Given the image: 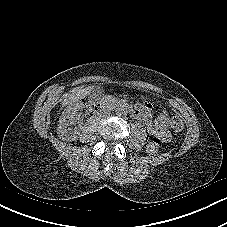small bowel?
Segmentation results:
<instances>
[{
    "label": "small bowel",
    "mask_w": 227,
    "mask_h": 227,
    "mask_svg": "<svg viewBox=\"0 0 227 227\" xmlns=\"http://www.w3.org/2000/svg\"><path fill=\"white\" fill-rule=\"evenodd\" d=\"M152 106L150 103H144L141 107L135 109L138 111L137 119L143 121L146 125L147 131L151 135L160 136L164 142L171 140V132L169 127L171 119L167 110H161L155 120H152L151 114Z\"/></svg>",
    "instance_id": "c3829d8e"
}]
</instances>
